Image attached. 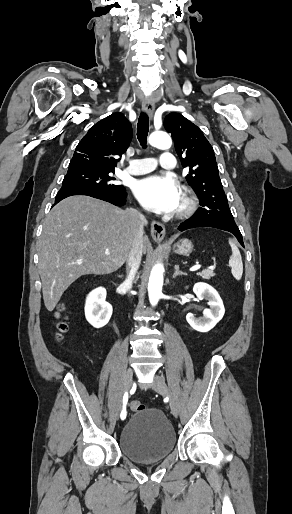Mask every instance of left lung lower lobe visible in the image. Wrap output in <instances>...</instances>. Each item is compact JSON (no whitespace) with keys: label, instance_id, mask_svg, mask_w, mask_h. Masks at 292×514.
<instances>
[{"label":"left lung lower lobe","instance_id":"obj_1","mask_svg":"<svg viewBox=\"0 0 292 514\" xmlns=\"http://www.w3.org/2000/svg\"><path fill=\"white\" fill-rule=\"evenodd\" d=\"M196 227H213L218 228L221 230L229 231L232 234L236 236L238 241L242 246H244L243 238L240 233L239 228L236 224H229L223 221L215 220V219H198L195 215H193L191 218L186 220L185 222L181 223L178 226L179 231H184L190 228H196Z\"/></svg>","mask_w":292,"mask_h":514}]
</instances>
